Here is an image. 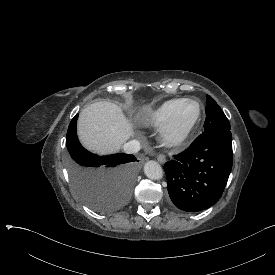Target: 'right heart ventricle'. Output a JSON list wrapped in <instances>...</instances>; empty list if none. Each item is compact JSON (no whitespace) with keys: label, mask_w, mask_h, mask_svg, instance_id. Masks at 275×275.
<instances>
[{"label":"right heart ventricle","mask_w":275,"mask_h":275,"mask_svg":"<svg viewBox=\"0 0 275 275\" xmlns=\"http://www.w3.org/2000/svg\"><path fill=\"white\" fill-rule=\"evenodd\" d=\"M182 100V98H177L164 101L152 109L140 112L137 117L146 127H163L166 124L173 108Z\"/></svg>","instance_id":"right-heart-ventricle-1"}]
</instances>
